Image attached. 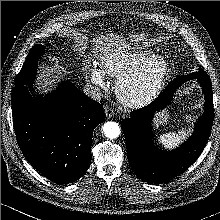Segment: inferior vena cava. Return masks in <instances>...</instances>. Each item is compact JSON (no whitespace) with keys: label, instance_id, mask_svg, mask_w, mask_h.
I'll list each match as a JSON object with an SVG mask.
<instances>
[{"label":"inferior vena cava","instance_id":"1","mask_svg":"<svg viewBox=\"0 0 220 220\" xmlns=\"http://www.w3.org/2000/svg\"><path fill=\"white\" fill-rule=\"evenodd\" d=\"M83 93L96 101H100L101 98L103 97V94L100 88L93 86V85H89V84L84 86Z\"/></svg>","mask_w":220,"mask_h":220}]
</instances>
